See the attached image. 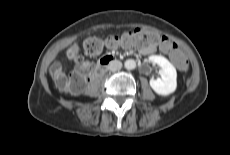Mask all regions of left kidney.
<instances>
[{"label":"left kidney","mask_w":230,"mask_h":155,"mask_svg":"<svg viewBox=\"0 0 230 155\" xmlns=\"http://www.w3.org/2000/svg\"><path fill=\"white\" fill-rule=\"evenodd\" d=\"M149 60L157 64L160 69L161 78L151 79V88L161 96H168L177 88V72L175 67L163 56L151 55Z\"/></svg>","instance_id":"obj_1"}]
</instances>
